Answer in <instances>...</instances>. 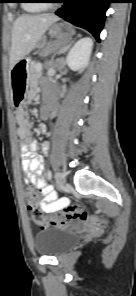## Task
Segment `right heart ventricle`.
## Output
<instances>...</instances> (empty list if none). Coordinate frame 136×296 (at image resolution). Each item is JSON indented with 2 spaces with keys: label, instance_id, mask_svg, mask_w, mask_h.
Instances as JSON below:
<instances>
[{
  "label": "right heart ventricle",
  "instance_id": "1",
  "mask_svg": "<svg viewBox=\"0 0 136 296\" xmlns=\"http://www.w3.org/2000/svg\"><path fill=\"white\" fill-rule=\"evenodd\" d=\"M40 0H26L23 4V8L28 12H36L44 9L43 3H38Z\"/></svg>",
  "mask_w": 136,
  "mask_h": 296
}]
</instances>
